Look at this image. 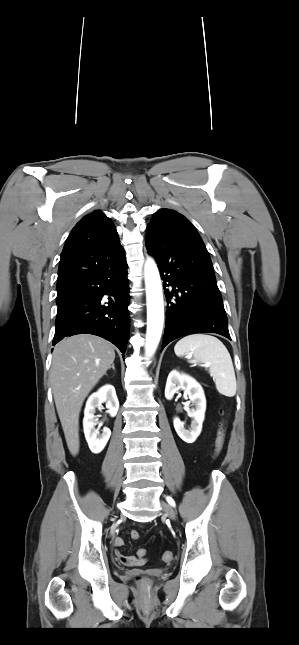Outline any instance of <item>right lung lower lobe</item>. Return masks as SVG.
<instances>
[{
  "mask_svg": "<svg viewBox=\"0 0 299 645\" xmlns=\"http://www.w3.org/2000/svg\"><path fill=\"white\" fill-rule=\"evenodd\" d=\"M68 292L58 305L53 345L67 336L94 334L125 353L129 335L126 258L85 277ZM104 295L110 296L107 305L101 302Z\"/></svg>",
  "mask_w": 299,
  "mask_h": 645,
  "instance_id": "right-lung-lower-lobe-1",
  "label": "right lung lower lobe"
}]
</instances>
